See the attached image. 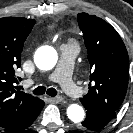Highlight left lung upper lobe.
Listing matches in <instances>:
<instances>
[{
	"instance_id": "5c2ea615",
	"label": "left lung upper lobe",
	"mask_w": 133,
	"mask_h": 133,
	"mask_svg": "<svg viewBox=\"0 0 133 133\" xmlns=\"http://www.w3.org/2000/svg\"><path fill=\"white\" fill-rule=\"evenodd\" d=\"M78 24L92 69L88 94L80 100L82 104L116 112L125 98L128 84L126 47L116 30L99 17L80 13Z\"/></svg>"
}]
</instances>
